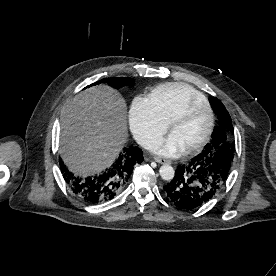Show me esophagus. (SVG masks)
Segmentation results:
<instances>
[{
  "mask_svg": "<svg viewBox=\"0 0 276 276\" xmlns=\"http://www.w3.org/2000/svg\"><path fill=\"white\" fill-rule=\"evenodd\" d=\"M154 160L158 163H161V164H169L170 163V160L160 158V157H154Z\"/></svg>",
  "mask_w": 276,
  "mask_h": 276,
  "instance_id": "obj_1",
  "label": "esophagus"
}]
</instances>
